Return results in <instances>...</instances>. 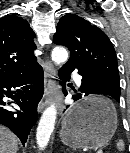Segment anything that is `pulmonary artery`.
I'll list each match as a JSON object with an SVG mask.
<instances>
[{"instance_id":"obj_1","label":"pulmonary artery","mask_w":130,"mask_h":153,"mask_svg":"<svg viewBox=\"0 0 130 153\" xmlns=\"http://www.w3.org/2000/svg\"><path fill=\"white\" fill-rule=\"evenodd\" d=\"M73 79L76 82L77 85L81 84V77L78 75H73Z\"/></svg>"}]
</instances>
